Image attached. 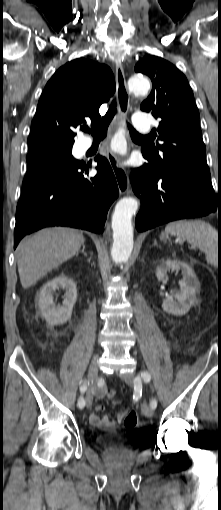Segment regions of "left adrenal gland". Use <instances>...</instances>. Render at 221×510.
I'll use <instances>...</instances> for the list:
<instances>
[{
	"label": "left adrenal gland",
	"mask_w": 221,
	"mask_h": 510,
	"mask_svg": "<svg viewBox=\"0 0 221 510\" xmlns=\"http://www.w3.org/2000/svg\"><path fill=\"white\" fill-rule=\"evenodd\" d=\"M153 246H157L158 247L157 241H154Z\"/></svg>",
	"instance_id": "1"
}]
</instances>
